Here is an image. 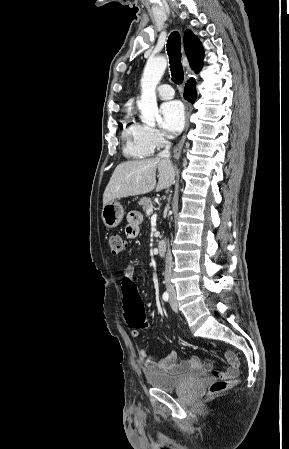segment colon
I'll list each match as a JSON object with an SVG mask.
<instances>
[{
  "label": "colon",
  "instance_id": "obj_1",
  "mask_svg": "<svg viewBox=\"0 0 289 449\" xmlns=\"http://www.w3.org/2000/svg\"><path fill=\"white\" fill-rule=\"evenodd\" d=\"M110 249L113 256H121L127 249L126 241L120 235H112L109 239ZM120 289L122 292V304L126 310V321L130 328L139 329L146 328L147 322L143 309V303L140 296H138L137 284L134 279L124 277ZM216 380L210 385L209 392L219 393L226 390L235 383L234 379H226L217 377L213 373Z\"/></svg>",
  "mask_w": 289,
  "mask_h": 449
}]
</instances>
